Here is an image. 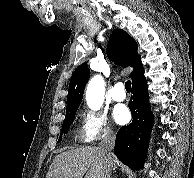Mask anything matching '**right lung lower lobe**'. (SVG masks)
I'll list each match as a JSON object with an SVG mask.
<instances>
[{
	"instance_id": "98d812e1",
	"label": "right lung lower lobe",
	"mask_w": 194,
	"mask_h": 178,
	"mask_svg": "<svg viewBox=\"0 0 194 178\" xmlns=\"http://www.w3.org/2000/svg\"><path fill=\"white\" fill-rule=\"evenodd\" d=\"M132 94L128 106L133 121L118 131L114 154L125 165L138 170L143 167L153 125L145 77L132 83Z\"/></svg>"
}]
</instances>
